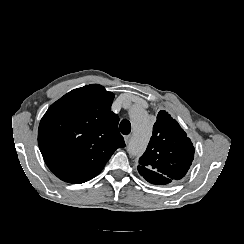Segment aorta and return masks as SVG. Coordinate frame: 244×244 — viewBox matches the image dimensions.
Listing matches in <instances>:
<instances>
[{
  "instance_id": "obj_1",
  "label": "aorta",
  "mask_w": 244,
  "mask_h": 244,
  "mask_svg": "<svg viewBox=\"0 0 244 244\" xmlns=\"http://www.w3.org/2000/svg\"><path fill=\"white\" fill-rule=\"evenodd\" d=\"M129 115L134 132L127 151L131 156H140L149 142L152 131L151 123L146 111L140 107L133 106Z\"/></svg>"
}]
</instances>
